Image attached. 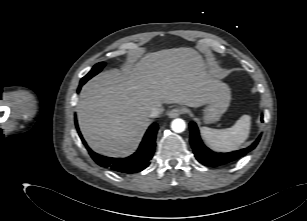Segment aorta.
<instances>
[{"label": "aorta", "instance_id": "obj_1", "mask_svg": "<svg viewBox=\"0 0 307 221\" xmlns=\"http://www.w3.org/2000/svg\"><path fill=\"white\" fill-rule=\"evenodd\" d=\"M171 129L176 133H181L186 129V123L183 119H174L171 122Z\"/></svg>", "mask_w": 307, "mask_h": 221}]
</instances>
